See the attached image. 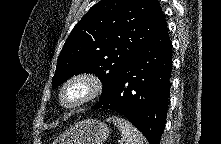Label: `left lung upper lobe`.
<instances>
[{
    "mask_svg": "<svg viewBox=\"0 0 221 144\" xmlns=\"http://www.w3.org/2000/svg\"><path fill=\"white\" fill-rule=\"evenodd\" d=\"M163 20L157 0H101L75 25L66 40L52 87L74 75L94 73L103 83L101 99Z\"/></svg>",
    "mask_w": 221,
    "mask_h": 144,
    "instance_id": "left-lung-upper-lobe-1",
    "label": "left lung upper lobe"
}]
</instances>
